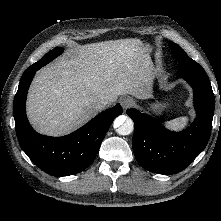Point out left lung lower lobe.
<instances>
[{
	"label": "left lung lower lobe",
	"mask_w": 221,
	"mask_h": 221,
	"mask_svg": "<svg viewBox=\"0 0 221 221\" xmlns=\"http://www.w3.org/2000/svg\"><path fill=\"white\" fill-rule=\"evenodd\" d=\"M181 76L194 92L196 119L186 130L172 132L147 114L126 111L134 121L132 147L138 163L159 174L184 170L206 147L212 128L215 98L204 69L191 58L180 61Z\"/></svg>",
	"instance_id": "left-lung-lower-lobe-1"
}]
</instances>
